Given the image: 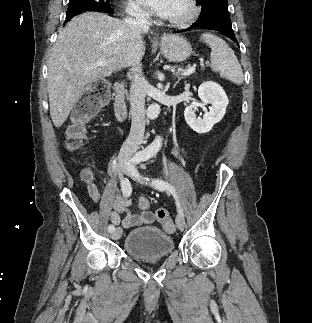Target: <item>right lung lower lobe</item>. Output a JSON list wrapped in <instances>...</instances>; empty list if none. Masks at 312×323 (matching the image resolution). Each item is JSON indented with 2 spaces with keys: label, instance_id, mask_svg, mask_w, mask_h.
<instances>
[{
  "label": "right lung lower lobe",
  "instance_id": "right-lung-lower-lobe-1",
  "mask_svg": "<svg viewBox=\"0 0 312 323\" xmlns=\"http://www.w3.org/2000/svg\"><path fill=\"white\" fill-rule=\"evenodd\" d=\"M104 12L109 13V14H111V15H113V13H114V11H113V10H111V9H110V10H106V11H104ZM71 18H72V17H71ZM71 18L66 19V20H65V23H66V22H68Z\"/></svg>",
  "mask_w": 312,
  "mask_h": 323
}]
</instances>
